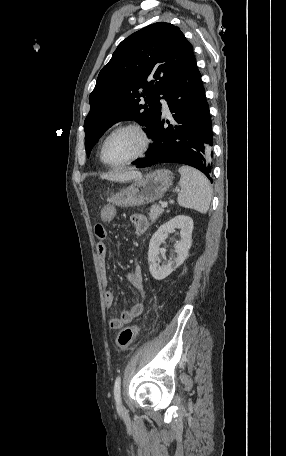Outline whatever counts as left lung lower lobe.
<instances>
[{
    "instance_id": "1",
    "label": "left lung lower lobe",
    "mask_w": 286,
    "mask_h": 456,
    "mask_svg": "<svg viewBox=\"0 0 286 456\" xmlns=\"http://www.w3.org/2000/svg\"><path fill=\"white\" fill-rule=\"evenodd\" d=\"M164 99L176 123L169 124L160 114L148 135L154 140L148 156L134 164L137 168L166 162L186 164L199 169L211 180V119L195 59L172 83ZM165 123L169 124L166 128Z\"/></svg>"
}]
</instances>
